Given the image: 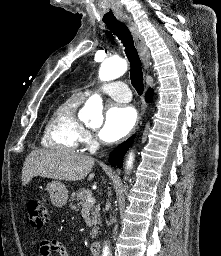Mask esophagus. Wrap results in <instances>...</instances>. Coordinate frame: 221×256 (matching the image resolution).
I'll return each instance as SVG.
<instances>
[{
	"label": "esophagus",
	"mask_w": 221,
	"mask_h": 256,
	"mask_svg": "<svg viewBox=\"0 0 221 256\" xmlns=\"http://www.w3.org/2000/svg\"><path fill=\"white\" fill-rule=\"evenodd\" d=\"M121 20L128 26L130 31L132 32V35L134 37L137 49L139 51L141 60L143 62L144 68L148 69L150 65V54L148 47L146 46L145 40L141 33L139 32L136 24L132 21V19L128 16H124L121 18ZM146 105L143 106V113L145 112Z\"/></svg>",
	"instance_id": "34e87169"
}]
</instances>
